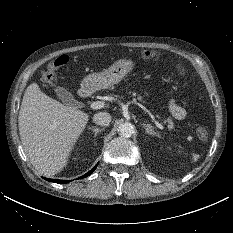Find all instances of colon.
<instances>
[{
    "instance_id": "obj_1",
    "label": "colon",
    "mask_w": 233,
    "mask_h": 233,
    "mask_svg": "<svg viewBox=\"0 0 233 233\" xmlns=\"http://www.w3.org/2000/svg\"><path fill=\"white\" fill-rule=\"evenodd\" d=\"M159 55L158 52L156 51H151V50H143L140 53V57L144 60H150L153 59L155 57H157ZM69 62V57L67 55H60L57 58H55L51 64L49 65V67L44 70L42 72V78L45 82L51 84L54 81V72L53 70L55 68H59L62 66H65L66 64H68ZM183 75L187 76L188 75V71L187 70H183L182 72ZM197 137L202 140L205 141L208 139V131L204 128V127H199L196 131Z\"/></svg>"
}]
</instances>
